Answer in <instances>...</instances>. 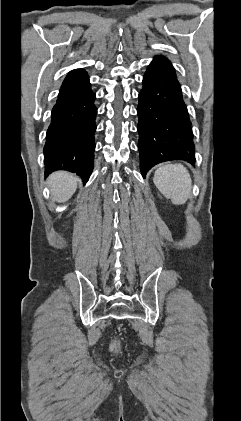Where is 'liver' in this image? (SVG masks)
Masks as SVG:
<instances>
[{"label":"liver","instance_id":"obj_1","mask_svg":"<svg viewBox=\"0 0 241 421\" xmlns=\"http://www.w3.org/2000/svg\"><path fill=\"white\" fill-rule=\"evenodd\" d=\"M78 177L65 171L52 173L47 183L54 201L64 203L74 194L77 188Z\"/></svg>","mask_w":241,"mask_h":421}]
</instances>
